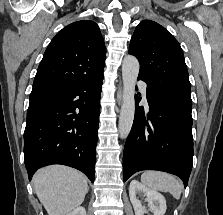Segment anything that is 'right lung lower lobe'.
Segmentation results:
<instances>
[{"instance_id": "1", "label": "right lung lower lobe", "mask_w": 223, "mask_h": 215, "mask_svg": "<svg viewBox=\"0 0 223 215\" xmlns=\"http://www.w3.org/2000/svg\"><path fill=\"white\" fill-rule=\"evenodd\" d=\"M103 78L101 72L68 91L29 104L24 131L29 180L43 166L63 164L94 182Z\"/></svg>"}]
</instances>
